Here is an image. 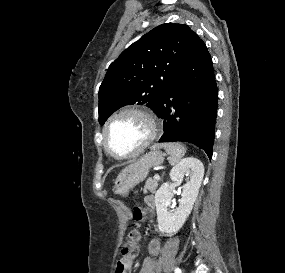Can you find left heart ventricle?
<instances>
[{
    "label": "left heart ventricle",
    "instance_id": "obj_1",
    "mask_svg": "<svg viewBox=\"0 0 285 273\" xmlns=\"http://www.w3.org/2000/svg\"><path fill=\"white\" fill-rule=\"evenodd\" d=\"M148 132V125L143 118L126 114L112 122L108 129L107 142L115 153L127 154L145 140Z\"/></svg>",
    "mask_w": 285,
    "mask_h": 273
}]
</instances>
